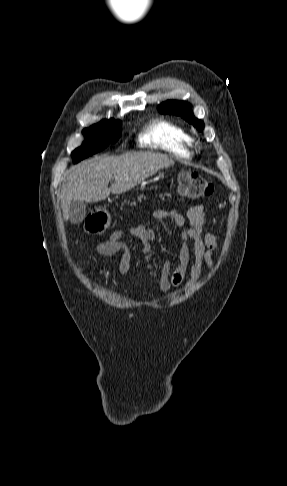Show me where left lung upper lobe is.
Instances as JSON below:
<instances>
[{
	"instance_id": "5c2ea615",
	"label": "left lung upper lobe",
	"mask_w": 287,
	"mask_h": 486,
	"mask_svg": "<svg viewBox=\"0 0 287 486\" xmlns=\"http://www.w3.org/2000/svg\"><path fill=\"white\" fill-rule=\"evenodd\" d=\"M158 110L161 113H173L181 116L189 123H192L198 130L203 129V122L196 119L191 111V106L183 101H166L159 105Z\"/></svg>"
}]
</instances>
